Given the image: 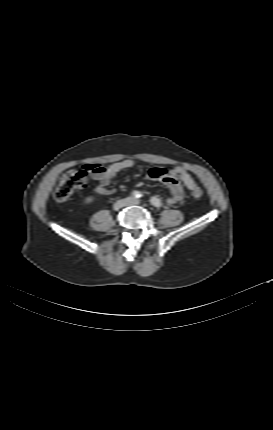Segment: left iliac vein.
Listing matches in <instances>:
<instances>
[{"instance_id": "left-iliac-vein-1", "label": "left iliac vein", "mask_w": 273, "mask_h": 430, "mask_svg": "<svg viewBox=\"0 0 273 430\" xmlns=\"http://www.w3.org/2000/svg\"><path fill=\"white\" fill-rule=\"evenodd\" d=\"M140 201L137 199H133V198H128L127 199V205H139Z\"/></svg>"}]
</instances>
